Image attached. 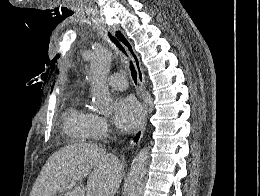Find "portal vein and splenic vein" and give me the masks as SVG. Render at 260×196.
Returning a JSON list of instances; mask_svg holds the SVG:
<instances>
[{
    "label": "portal vein and splenic vein",
    "mask_w": 260,
    "mask_h": 196,
    "mask_svg": "<svg viewBox=\"0 0 260 196\" xmlns=\"http://www.w3.org/2000/svg\"><path fill=\"white\" fill-rule=\"evenodd\" d=\"M70 188H76V184H69L67 188H60L61 192H65V190H70Z\"/></svg>",
    "instance_id": "1"
}]
</instances>
